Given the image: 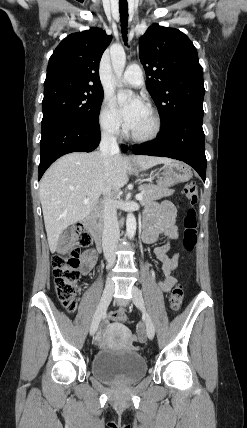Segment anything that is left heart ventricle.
<instances>
[{
	"label": "left heart ventricle",
	"mask_w": 247,
	"mask_h": 428,
	"mask_svg": "<svg viewBox=\"0 0 247 428\" xmlns=\"http://www.w3.org/2000/svg\"><path fill=\"white\" fill-rule=\"evenodd\" d=\"M152 127L153 119L149 110L147 109L137 124L131 129V131L138 135H145L152 130Z\"/></svg>",
	"instance_id": "1"
}]
</instances>
